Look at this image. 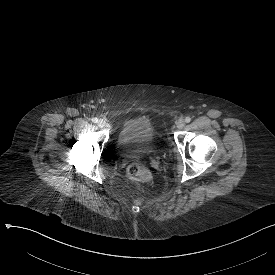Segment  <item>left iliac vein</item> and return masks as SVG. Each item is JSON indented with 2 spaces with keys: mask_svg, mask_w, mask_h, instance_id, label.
Here are the masks:
<instances>
[{
  "mask_svg": "<svg viewBox=\"0 0 275 275\" xmlns=\"http://www.w3.org/2000/svg\"><path fill=\"white\" fill-rule=\"evenodd\" d=\"M185 126V121L184 119H179L177 122V128L180 130Z\"/></svg>",
  "mask_w": 275,
  "mask_h": 275,
  "instance_id": "4c4485c4",
  "label": "left iliac vein"
}]
</instances>
